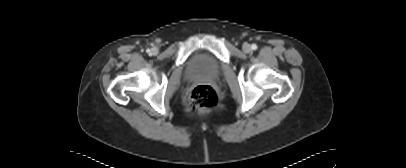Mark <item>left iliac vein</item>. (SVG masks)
<instances>
[{
	"instance_id": "1",
	"label": "left iliac vein",
	"mask_w": 406,
	"mask_h": 168,
	"mask_svg": "<svg viewBox=\"0 0 406 168\" xmlns=\"http://www.w3.org/2000/svg\"><path fill=\"white\" fill-rule=\"evenodd\" d=\"M242 49H243V51H244L245 53H250V52H251V46H250V44H248V43L243 44Z\"/></svg>"
}]
</instances>
